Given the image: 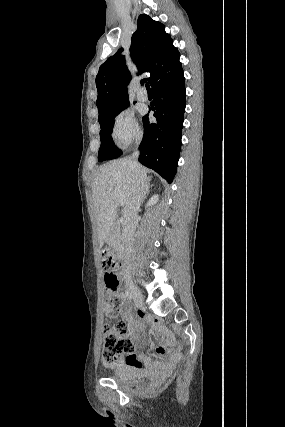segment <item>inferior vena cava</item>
Returning <instances> with one entry per match:
<instances>
[{
    "label": "inferior vena cava",
    "instance_id": "602c4592",
    "mask_svg": "<svg viewBox=\"0 0 285 427\" xmlns=\"http://www.w3.org/2000/svg\"><path fill=\"white\" fill-rule=\"evenodd\" d=\"M138 156L139 151L136 150L129 158V164L133 172L134 188L129 201L125 205L123 214L124 224L122 240L127 254H129L133 248V236L138 223L137 214L147 188L146 176L137 162Z\"/></svg>",
    "mask_w": 285,
    "mask_h": 427
}]
</instances>
